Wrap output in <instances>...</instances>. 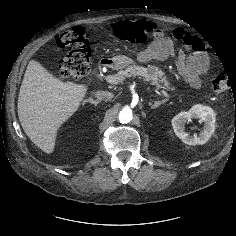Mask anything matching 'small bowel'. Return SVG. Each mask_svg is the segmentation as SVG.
<instances>
[{
	"label": "small bowel",
	"mask_w": 236,
	"mask_h": 236,
	"mask_svg": "<svg viewBox=\"0 0 236 236\" xmlns=\"http://www.w3.org/2000/svg\"><path fill=\"white\" fill-rule=\"evenodd\" d=\"M174 59L184 84L200 88L206 80L209 70L208 56L202 42L192 33L176 28L170 35L158 28L152 42L138 54L143 63Z\"/></svg>",
	"instance_id": "c3829d8e"
}]
</instances>
